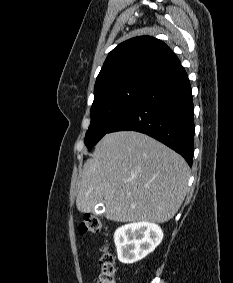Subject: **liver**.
I'll return each instance as SVG.
<instances>
[{
    "mask_svg": "<svg viewBox=\"0 0 233 283\" xmlns=\"http://www.w3.org/2000/svg\"><path fill=\"white\" fill-rule=\"evenodd\" d=\"M189 166L182 156L135 131L106 134L80 174L76 206L89 213L105 204L115 222L164 223L187 192Z\"/></svg>",
    "mask_w": 233,
    "mask_h": 283,
    "instance_id": "obj_1",
    "label": "liver"
}]
</instances>
